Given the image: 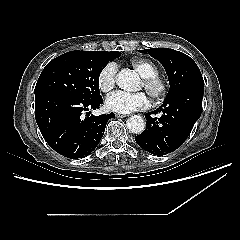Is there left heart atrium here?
Wrapping results in <instances>:
<instances>
[{
    "mask_svg": "<svg viewBox=\"0 0 240 240\" xmlns=\"http://www.w3.org/2000/svg\"><path fill=\"white\" fill-rule=\"evenodd\" d=\"M106 106L116 113L128 114L146 108L148 98L144 92L115 91L106 98Z\"/></svg>",
    "mask_w": 240,
    "mask_h": 240,
    "instance_id": "1",
    "label": "left heart atrium"
}]
</instances>
